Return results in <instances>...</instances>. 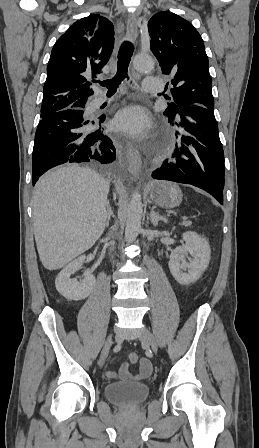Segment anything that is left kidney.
<instances>
[{
	"label": "left kidney",
	"mask_w": 259,
	"mask_h": 448,
	"mask_svg": "<svg viewBox=\"0 0 259 448\" xmlns=\"http://www.w3.org/2000/svg\"><path fill=\"white\" fill-rule=\"evenodd\" d=\"M183 240L186 244L173 250L168 266L176 282L182 286H190L193 282H197L203 272L207 270L211 250L207 240L200 238L196 232H185ZM187 254L192 256V258H188L190 262H186Z\"/></svg>",
	"instance_id": "5707ae66"
}]
</instances>
